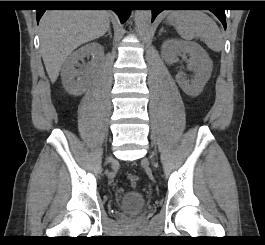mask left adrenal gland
I'll return each mask as SVG.
<instances>
[{"label":"left adrenal gland","instance_id":"1","mask_svg":"<svg viewBox=\"0 0 265 245\" xmlns=\"http://www.w3.org/2000/svg\"><path fill=\"white\" fill-rule=\"evenodd\" d=\"M163 32H165V31H164L163 28H161L160 31H159V35H161Z\"/></svg>","mask_w":265,"mask_h":245}]
</instances>
